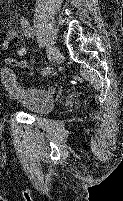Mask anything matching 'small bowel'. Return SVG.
Masks as SVG:
<instances>
[{"instance_id": "c3829d8e", "label": "small bowel", "mask_w": 123, "mask_h": 201, "mask_svg": "<svg viewBox=\"0 0 123 201\" xmlns=\"http://www.w3.org/2000/svg\"><path fill=\"white\" fill-rule=\"evenodd\" d=\"M23 30V29H22ZM23 32L28 35V33L26 31L23 30ZM18 37V33L15 29H10L6 35L5 40L3 41V43L0 45V52L7 49L9 47V45L16 40V38ZM5 62L9 65L12 66H18V67H24L26 65L25 60H20L17 61L13 58L10 57H6L5 58Z\"/></svg>"}]
</instances>
